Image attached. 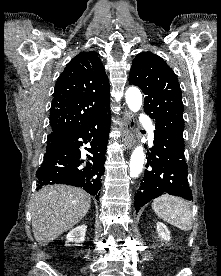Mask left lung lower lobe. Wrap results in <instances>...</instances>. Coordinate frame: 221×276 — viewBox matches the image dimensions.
<instances>
[{
    "instance_id": "1",
    "label": "left lung lower lobe",
    "mask_w": 221,
    "mask_h": 276,
    "mask_svg": "<svg viewBox=\"0 0 221 276\" xmlns=\"http://www.w3.org/2000/svg\"><path fill=\"white\" fill-rule=\"evenodd\" d=\"M184 142L174 134L154 131V146L147 160V170L135 195V208L168 193L192 200L188 185Z\"/></svg>"
}]
</instances>
